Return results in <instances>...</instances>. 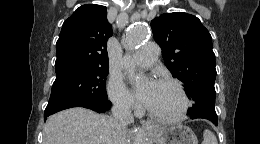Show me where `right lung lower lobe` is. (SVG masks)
<instances>
[{"label": "right lung lower lobe", "mask_w": 260, "mask_h": 144, "mask_svg": "<svg viewBox=\"0 0 260 144\" xmlns=\"http://www.w3.org/2000/svg\"><path fill=\"white\" fill-rule=\"evenodd\" d=\"M71 107H84V108H88V109H91L93 111H96L98 113H102V112H106L107 110L110 109L111 102L108 101V100H103V101H98V102L85 104V105H65V106L50 108V109L45 110L44 120L48 116H50V115H52V114H54L58 111H61V110L67 109V108H71Z\"/></svg>", "instance_id": "1"}]
</instances>
